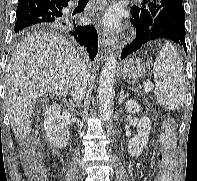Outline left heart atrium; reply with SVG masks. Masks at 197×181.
<instances>
[{
    "label": "left heart atrium",
    "instance_id": "left-heart-atrium-1",
    "mask_svg": "<svg viewBox=\"0 0 197 181\" xmlns=\"http://www.w3.org/2000/svg\"><path fill=\"white\" fill-rule=\"evenodd\" d=\"M118 21H119V13L115 9L108 10L103 17L104 24L111 28L117 27Z\"/></svg>",
    "mask_w": 197,
    "mask_h": 181
}]
</instances>
